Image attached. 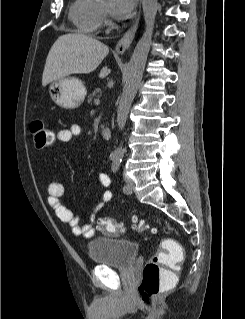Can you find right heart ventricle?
<instances>
[{
    "mask_svg": "<svg viewBox=\"0 0 245 319\" xmlns=\"http://www.w3.org/2000/svg\"><path fill=\"white\" fill-rule=\"evenodd\" d=\"M69 17L83 33L96 34L104 20V8L100 0H74Z\"/></svg>",
    "mask_w": 245,
    "mask_h": 319,
    "instance_id": "e07e8e85",
    "label": "right heart ventricle"
}]
</instances>
